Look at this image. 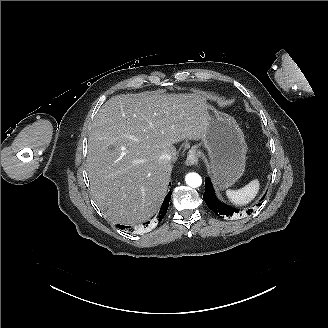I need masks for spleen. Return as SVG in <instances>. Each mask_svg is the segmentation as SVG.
<instances>
[{"mask_svg": "<svg viewBox=\"0 0 328 328\" xmlns=\"http://www.w3.org/2000/svg\"><path fill=\"white\" fill-rule=\"evenodd\" d=\"M259 189L257 180H252L240 189H228L227 195L235 204H246L250 202L256 195Z\"/></svg>", "mask_w": 328, "mask_h": 328, "instance_id": "obj_1", "label": "spleen"}]
</instances>
